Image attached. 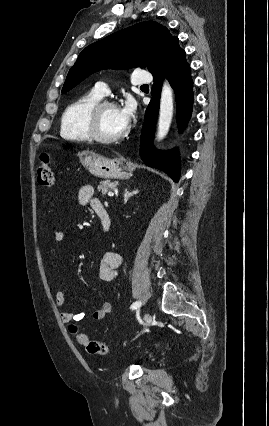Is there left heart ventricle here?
Here are the masks:
<instances>
[{"instance_id": "b2bd125f", "label": "left heart ventricle", "mask_w": 269, "mask_h": 426, "mask_svg": "<svg viewBox=\"0 0 269 426\" xmlns=\"http://www.w3.org/2000/svg\"><path fill=\"white\" fill-rule=\"evenodd\" d=\"M126 128L116 107L105 108L99 118V130L104 137H116Z\"/></svg>"}]
</instances>
